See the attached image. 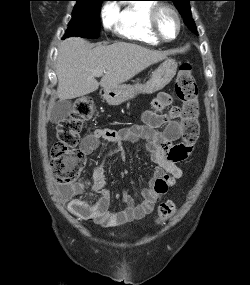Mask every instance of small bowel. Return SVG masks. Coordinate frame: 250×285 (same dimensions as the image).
Masks as SVG:
<instances>
[{
  "label": "small bowel",
  "mask_w": 250,
  "mask_h": 285,
  "mask_svg": "<svg viewBox=\"0 0 250 285\" xmlns=\"http://www.w3.org/2000/svg\"><path fill=\"white\" fill-rule=\"evenodd\" d=\"M170 97L160 93L153 101L156 110H161L170 104ZM179 110L173 109L167 114L157 111H147L143 115V125H132L118 130L99 128L89 132L80 145L84 155L94 152L101 141L114 144L122 158L126 157L124 145L126 142H146V149L155 168L148 181V186L142 192V201L135 204L127 194L123 195L124 207L119 210L110 209L111 194L106 188L104 165L100 164L94 173L91 190L99 195L97 201L89 203L79 196L86 190V185L77 183H60L59 193L67 202L69 211L78 218L92 221L102 226H115L133 220H139L150 214L155 204L165 195L169 188L175 186L183 175L178 163L191 152V146L173 145L182 135ZM165 126L163 131L159 128Z\"/></svg>",
  "instance_id": "1"
}]
</instances>
